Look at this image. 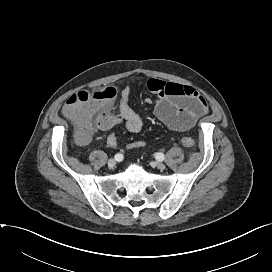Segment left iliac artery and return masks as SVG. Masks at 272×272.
I'll list each match as a JSON object with an SVG mask.
<instances>
[{"label":"left iliac artery","mask_w":272,"mask_h":272,"mask_svg":"<svg viewBox=\"0 0 272 272\" xmlns=\"http://www.w3.org/2000/svg\"><path fill=\"white\" fill-rule=\"evenodd\" d=\"M155 158L158 160V161H163L165 159V156L163 153H156L155 154Z\"/></svg>","instance_id":"left-iliac-artery-1"}]
</instances>
